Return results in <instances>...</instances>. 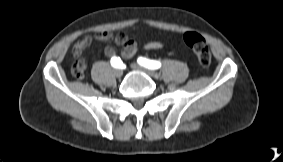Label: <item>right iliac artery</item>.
<instances>
[{
  "label": "right iliac artery",
  "mask_w": 283,
  "mask_h": 162,
  "mask_svg": "<svg viewBox=\"0 0 283 162\" xmlns=\"http://www.w3.org/2000/svg\"><path fill=\"white\" fill-rule=\"evenodd\" d=\"M122 64V61L119 57H112L111 58V65L115 68L120 67Z\"/></svg>",
  "instance_id": "1"
}]
</instances>
